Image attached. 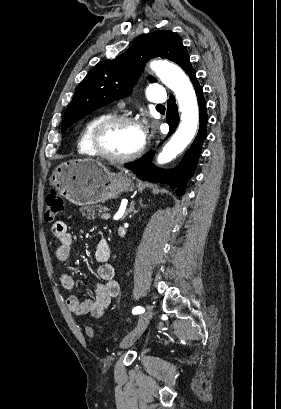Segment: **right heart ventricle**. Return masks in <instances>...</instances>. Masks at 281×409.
I'll list each match as a JSON object with an SVG mask.
<instances>
[{
	"instance_id": "e07e8e85",
	"label": "right heart ventricle",
	"mask_w": 281,
	"mask_h": 409,
	"mask_svg": "<svg viewBox=\"0 0 281 409\" xmlns=\"http://www.w3.org/2000/svg\"><path fill=\"white\" fill-rule=\"evenodd\" d=\"M110 116L111 113L102 112L88 119L78 141V150L81 154L90 157H99L94 145L95 130L102 120Z\"/></svg>"
}]
</instances>
